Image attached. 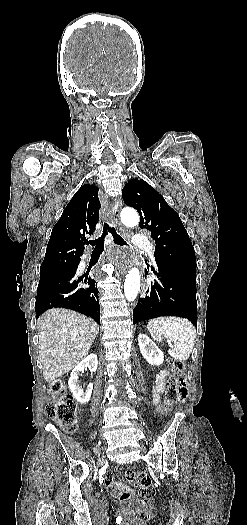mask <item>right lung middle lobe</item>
Masks as SVG:
<instances>
[{
    "mask_svg": "<svg viewBox=\"0 0 247 525\" xmlns=\"http://www.w3.org/2000/svg\"><path fill=\"white\" fill-rule=\"evenodd\" d=\"M76 264L75 258H57L53 260L48 266L40 269V279L45 276L59 273L73 268Z\"/></svg>",
    "mask_w": 247,
    "mask_h": 525,
    "instance_id": "obj_1",
    "label": "right lung middle lobe"
}]
</instances>
